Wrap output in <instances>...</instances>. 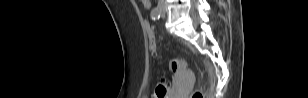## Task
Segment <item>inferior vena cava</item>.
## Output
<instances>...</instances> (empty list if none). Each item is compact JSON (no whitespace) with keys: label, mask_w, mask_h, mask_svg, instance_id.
Segmentation results:
<instances>
[{"label":"inferior vena cava","mask_w":308,"mask_h":98,"mask_svg":"<svg viewBox=\"0 0 308 98\" xmlns=\"http://www.w3.org/2000/svg\"><path fill=\"white\" fill-rule=\"evenodd\" d=\"M159 2H160V3H162V2H163V0H160Z\"/></svg>","instance_id":"602c4592"}]
</instances>
